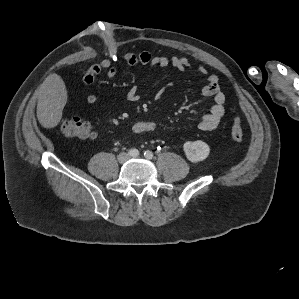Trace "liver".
I'll list each match as a JSON object with an SVG mask.
<instances>
[{
  "label": "liver",
  "mask_w": 299,
  "mask_h": 299,
  "mask_svg": "<svg viewBox=\"0 0 299 299\" xmlns=\"http://www.w3.org/2000/svg\"><path fill=\"white\" fill-rule=\"evenodd\" d=\"M67 99L61 76L56 73L48 75L40 86L37 103V118L44 128H54L59 124Z\"/></svg>",
  "instance_id": "obj_1"
}]
</instances>
